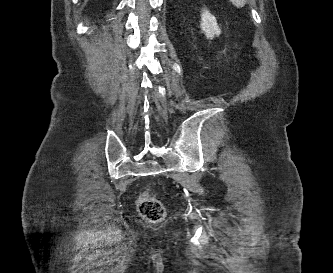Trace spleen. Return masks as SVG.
<instances>
[{
    "mask_svg": "<svg viewBox=\"0 0 333 273\" xmlns=\"http://www.w3.org/2000/svg\"><path fill=\"white\" fill-rule=\"evenodd\" d=\"M247 0H230L237 8H242L246 4Z\"/></svg>",
    "mask_w": 333,
    "mask_h": 273,
    "instance_id": "spleen-1",
    "label": "spleen"
}]
</instances>
